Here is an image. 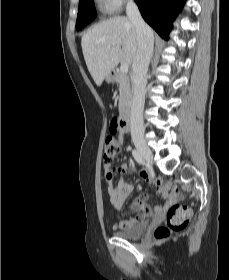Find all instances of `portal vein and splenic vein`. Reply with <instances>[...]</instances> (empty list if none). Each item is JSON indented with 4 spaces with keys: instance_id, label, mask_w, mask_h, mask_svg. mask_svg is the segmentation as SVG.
Segmentation results:
<instances>
[{
    "instance_id": "1",
    "label": "portal vein and splenic vein",
    "mask_w": 229,
    "mask_h": 280,
    "mask_svg": "<svg viewBox=\"0 0 229 280\" xmlns=\"http://www.w3.org/2000/svg\"><path fill=\"white\" fill-rule=\"evenodd\" d=\"M120 70L122 73H127L129 70V64L128 63H122L120 66Z\"/></svg>"
}]
</instances>
